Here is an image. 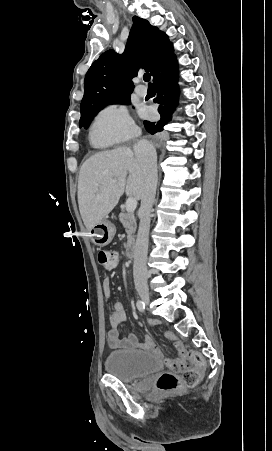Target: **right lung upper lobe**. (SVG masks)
I'll list each match as a JSON object with an SVG mask.
<instances>
[{
	"instance_id": "right-lung-upper-lobe-1",
	"label": "right lung upper lobe",
	"mask_w": 272,
	"mask_h": 451,
	"mask_svg": "<svg viewBox=\"0 0 272 451\" xmlns=\"http://www.w3.org/2000/svg\"><path fill=\"white\" fill-rule=\"evenodd\" d=\"M173 56L168 36L147 20L134 16L124 53L108 50L88 70L80 111L130 98L134 89L131 79L140 69L154 76Z\"/></svg>"
}]
</instances>
